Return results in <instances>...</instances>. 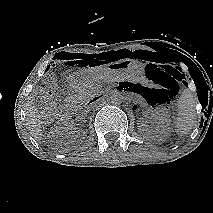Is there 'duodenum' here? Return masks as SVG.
Listing matches in <instances>:
<instances>
[{
  "label": "duodenum",
  "instance_id": "duodenum-1",
  "mask_svg": "<svg viewBox=\"0 0 213 213\" xmlns=\"http://www.w3.org/2000/svg\"><path fill=\"white\" fill-rule=\"evenodd\" d=\"M103 99H104V95H96V96H94V97L90 100L89 105H93V104H95V103H98V102H100V101L103 100ZM83 113H84V110H83V109H80V110H78V111L75 112L74 116H75L76 118H79Z\"/></svg>",
  "mask_w": 213,
  "mask_h": 213
}]
</instances>
